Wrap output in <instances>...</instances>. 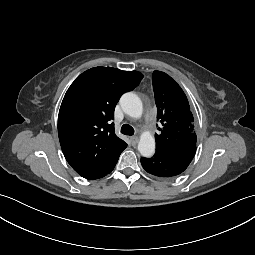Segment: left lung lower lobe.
I'll use <instances>...</instances> for the list:
<instances>
[{"label": "left lung lower lobe", "instance_id": "obj_1", "mask_svg": "<svg viewBox=\"0 0 255 255\" xmlns=\"http://www.w3.org/2000/svg\"><path fill=\"white\" fill-rule=\"evenodd\" d=\"M196 152L190 149L157 150L151 158H141L144 170L163 179L173 178L186 170Z\"/></svg>", "mask_w": 255, "mask_h": 255}]
</instances>
